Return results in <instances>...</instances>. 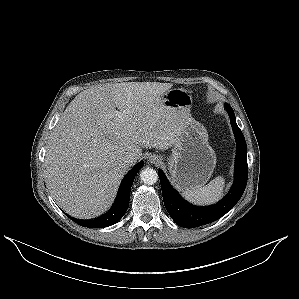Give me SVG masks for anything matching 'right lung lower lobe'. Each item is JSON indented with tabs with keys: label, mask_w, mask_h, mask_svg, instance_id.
I'll list each match as a JSON object with an SVG mask.
<instances>
[{
	"label": "right lung lower lobe",
	"mask_w": 299,
	"mask_h": 299,
	"mask_svg": "<svg viewBox=\"0 0 299 299\" xmlns=\"http://www.w3.org/2000/svg\"><path fill=\"white\" fill-rule=\"evenodd\" d=\"M142 165L143 161L139 162L124 177L119 187L115 203L106 214L93 220H79L67 216L77 224L89 228H103L117 223L128 209L131 186Z\"/></svg>",
	"instance_id": "obj_1"
}]
</instances>
